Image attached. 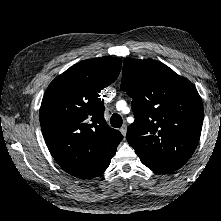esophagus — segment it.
Instances as JSON below:
<instances>
[{"label": "esophagus", "instance_id": "obj_1", "mask_svg": "<svg viewBox=\"0 0 221 221\" xmlns=\"http://www.w3.org/2000/svg\"><path fill=\"white\" fill-rule=\"evenodd\" d=\"M120 132L122 133V135L125 137L126 136V125H123L120 129Z\"/></svg>", "mask_w": 221, "mask_h": 221}]
</instances>
